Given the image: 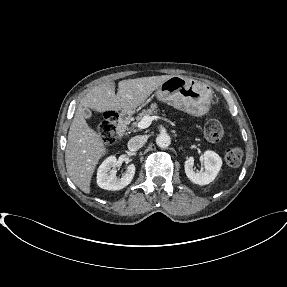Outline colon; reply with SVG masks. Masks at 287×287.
Returning a JSON list of instances; mask_svg holds the SVG:
<instances>
[{
    "label": "colon",
    "instance_id": "colon-1",
    "mask_svg": "<svg viewBox=\"0 0 287 287\" xmlns=\"http://www.w3.org/2000/svg\"><path fill=\"white\" fill-rule=\"evenodd\" d=\"M117 114L108 111L98 122L97 131L104 143H111L115 135V123ZM204 134L209 141L218 142L224 136V129L218 120H209L204 126ZM225 161L230 166H238L243 158V152L239 147H230L224 153Z\"/></svg>",
    "mask_w": 287,
    "mask_h": 287
}]
</instances>
